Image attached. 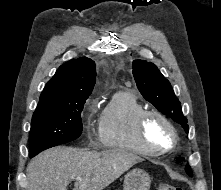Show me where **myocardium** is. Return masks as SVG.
Here are the masks:
<instances>
[{
  "instance_id": "obj_1",
  "label": "myocardium",
  "mask_w": 221,
  "mask_h": 190,
  "mask_svg": "<svg viewBox=\"0 0 221 190\" xmlns=\"http://www.w3.org/2000/svg\"><path fill=\"white\" fill-rule=\"evenodd\" d=\"M151 117L160 119L168 128L172 135V143L165 148H156L149 141L145 134L146 124ZM136 134L142 146L152 155H161L174 150L179 142L178 133L172 122L160 111L155 109H145L137 118L136 121Z\"/></svg>"
}]
</instances>
